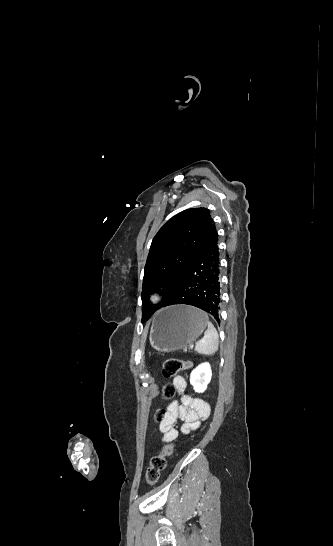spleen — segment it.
I'll list each match as a JSON object with an SVG mask.
<instances>
[{"label":"spleen","instance_id":"1","mask_svg":"<svg viewBox=\"0 0 333 546\" xmlns=\"http://www.w3.org/2000/svg\"><path fill=\"white\" fill-rule=\"evenodd\" d=\"M205 316L207 320V330L205 331L203 338L196 343L195 350L201 354H214L218 350L219 336L206 313Z\"/></svg>","mask_w":333,"mask_h":546}]
</instances>
